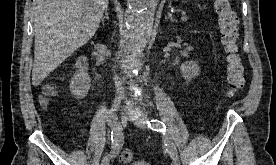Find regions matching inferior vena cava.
<instances>
[{"label": "inferior vena cava", "mask_w": 276, "mask_h": 165, "mask_svg": "<svg viewBox=\"0 0 276 165\" xmlns=\"http://www.w3.org/2000/svg\"><path fill=\"white\" fill-rule=\"evenodd\" d=\"M115 87H116V98L115 101L116 102H121V100L123 99V88L120 84V82L118 81V79L115 78Z\"/></svg>", "instance_id": "inferior-vena-cava-1"}]
</instances>
